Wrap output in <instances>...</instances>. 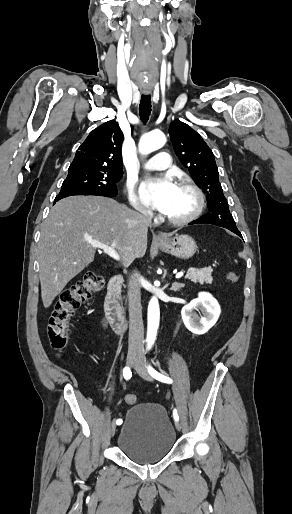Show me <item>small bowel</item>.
Returning a JSON list of instances; mask_svg holds the SVG:
<instances>
[{"label": "small bowel", "mask_w": 292, "mask_h": 514, "mask_svg": "<svg viewBox=\"0 0 292 514\" xmlns=\"http://www.w3.org/2000/svg\"><path fill=\"white\" fill-rule=\"evenodd\" d=\"M102 325H103V327H104V328H106V327H107V322H106V320H105V319L102 321Z\"/></svg>", "instance_id": "c3829d8e"}]
</instances>
